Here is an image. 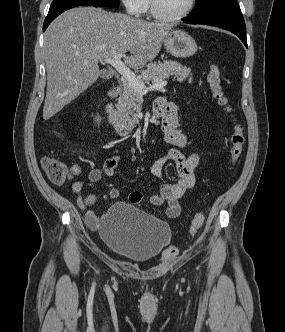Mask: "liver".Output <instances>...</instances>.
<instances>
[{"label":"liver","instance_id":"1","mask_svg":"<svg viewBox=\"0 0 285 332\" xmlns=\"http://www.w3.org/2000/svg\"><path fill=\"white\" fill-rule=\"evenodd\" d=\"M171 26L101 8L78 7L58 16L45 32L47 92L43 118L61 111L100 75L98 62L122 53L133 69L159 53ZM129 51L130 56L126 53Z\"/></svg>","mask_w":285,"mask_h":332}]
</instances>
